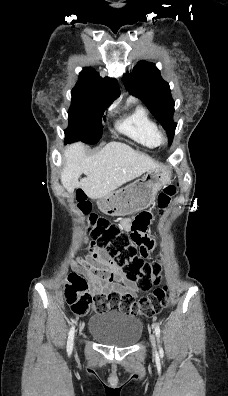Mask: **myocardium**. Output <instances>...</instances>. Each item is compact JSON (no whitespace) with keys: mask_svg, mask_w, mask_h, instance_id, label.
<instances>
[{"mask_svg":"<svg viewBox=\"0 0 228 396\" xmlns=\"http://www.w3.org/2000/svg\"><path fill=\"white\" fill-rule=\"evenodd\" d=\"M166 140H167L166 135L163 132L159 131L157 135L158 144H163L166 142Z\"/></svg>","mask_w":228,"mask_h":396,"instance_id":"1","label":"myocardium"}]
</instances>
